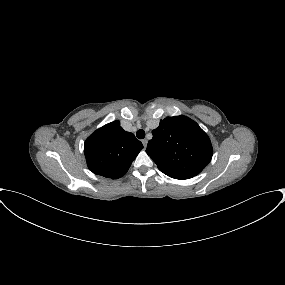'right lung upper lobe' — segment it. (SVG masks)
<instances>
[{
	"label": "right lung upper lobe",
	"instance_id": "right-lung-upper-lobe-1",
	"mask_svg": "<svg viewBox=\"0 0 285 285\" xmlns=\"http://www.w3.org/2000/svg\"><path fill=\"white\" fill-rule=\"evenodd\" d=\"M142 149V143L133 133L124 131L119 121L97 129L84 144L89 169L112 179L122 177Z\"/></svg>",
	"mask_w": 285,
	"mask_h": 285
}]
</instances>
